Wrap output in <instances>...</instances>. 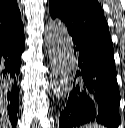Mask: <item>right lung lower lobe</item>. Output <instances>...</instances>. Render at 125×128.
Instances as JSON below:
<instances>
[{"instance_id":"obj_1","label":"right lung lower lobe","mask_w":125,"mask_h":128,"mask_svg":"<svg viewBox=\"0 0 125 128\" xmlns=\"http://www.w3.org/2000/svg\"><path fill=\"white\" fill-rule=\"evenodd\" d=\"M25 48L24 28L0 37V86L7 94V111L13 128L17 124L19 108V72Z\"/></svg>"}]
</instances>
